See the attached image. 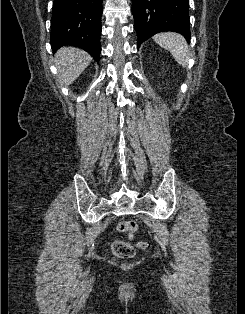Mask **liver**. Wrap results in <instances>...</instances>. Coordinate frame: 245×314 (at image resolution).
Returning <instances> with one entry per match:
<instances>
[{
	"label": "liver",
	"mask_w": 245,
	"mask_h": 314,
	"mask_svg": "<svg viewBox=\"0 0 245 314\" xmlns=\"http://www.w3.org/2000/svg\"><path fill=\"white\" fill-rule=\"evenodd\" d=\"M92 58L85 51L75 47H63L55 54L59 83L62 86L72 84L90 64Z\"/></svg>",
	"instance_id": "1"
}]
</instances>
